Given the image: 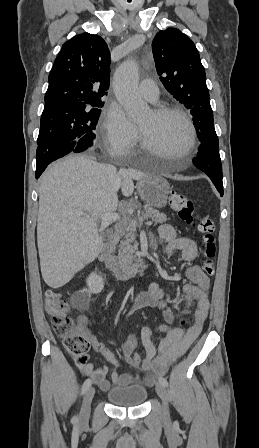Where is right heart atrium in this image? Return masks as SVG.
<instances>
[{"label": "right heart atrium", "instance_id": "d8ad5b80", "mask_svg": "<svg viewBox=\"0 0 259 448\" xmlns=\"http://www.w3.org/2000/svg\"><path fill=\"white\" fill-rule=\"evenodd\" d=\"M99 143L102 152H112L113 157H130L140 147L139 132L120 106L114 105L107 110Z\"/></svg>", "mask_w": 259, "mask_h": 448}]
</instances>
